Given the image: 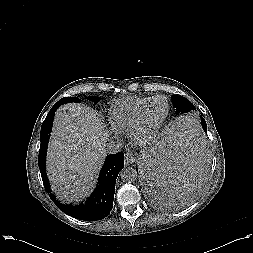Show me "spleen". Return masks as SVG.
I'll list each match as a JSON object with an SVG mask.
<instances>
[{
    "instance_id": "3e777b00",
    "label": "spleen",
    "mask_w": 253,
    "mask_h": 253,
    "mask_svg": "<svg viewBox=\"0 0 253 253\" xmlns=\"http://www.w3.org/2000/svg\"><path fill=\"white\" fill-rule=\"evenodd\" d=\"M207 165L208 154L198 124L179 120L170 125L155 153L146 160L142 184L158 201L180 204L200 190Z\"/></svg>"
}]
</instances>
